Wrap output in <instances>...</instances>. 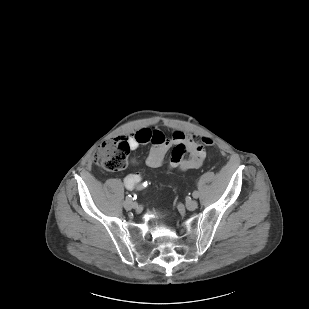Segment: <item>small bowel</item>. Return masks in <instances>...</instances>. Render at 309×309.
<instances>
[{
    "instance_id": "small-bowel-1",
    "label": "small bowel",
    "mask_w": 309,
    "mask_h": 309,
    "mask_svg": "<svg viewBox=\"0 0 309 309\" xmlns=\"http://www.w3.org/2000/svg\"><path fill=\"white\" fill-rule=\"evenodd\" d=\"M127 140L132 149L148 142L154 145L147 157V164L151 167L160 166L170 149L169 167L177 171L198 169L206 157L204 145L195 136L178 129L173 130L168 138L158 128L143 127L127 136ZM139 181L140 175L131 173L125 177L124 184L128 189H132Z\"/></svg>"
}]
</instances>
